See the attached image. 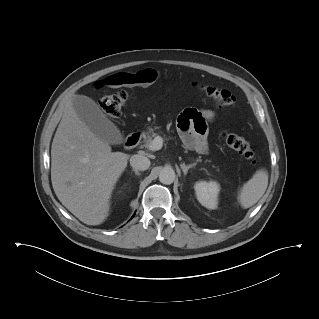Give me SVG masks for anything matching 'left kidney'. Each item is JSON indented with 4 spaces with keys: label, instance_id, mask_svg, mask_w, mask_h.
Returning a JSON list of instances; mask_svg holds the SVG:
<instances>
[{
    "label": "left kidney",
    "instance_id": "obj_1",
    "mask_svg": "<svg viewBox=\"0 0 319 319\" xmlns=\"http://www.w3.org/2000/svg\"><path fill=\"white\" fill-rule=\"evenodd\" d=\"M197 200L208 209H216L220 185L215 181H198L194 185Z\"/></svg>",
    "mask_w": 319,
    "mask_h": 319
}]
</instances>
